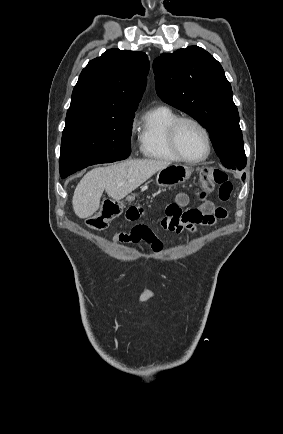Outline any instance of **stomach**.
<instances>
[{
    "label": "stomach",
    "instance_id": "1",
    "mask_svg": "<svg viewBox=\"0 0 283 434\" xmlns=\"http://www.w3.org/2000/svg\"><path fill=\"white\" fill-rule=\"evenodd\" d=\"M192 169L182 164H172L160 170L156 177L159 187H171L184 183L190 178Z\"/></svg>",
    "mask_w": 283,
    "mask_h": 434
}]
</instances>
